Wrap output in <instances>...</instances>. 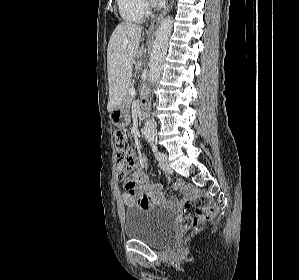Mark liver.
<instances>
[{
	"mask_svg": "<svg viewBox=\"0 0 299 280\" xmlns=\"http://www.w3.org/2000/svg\"><path fill=\"white\" fill-rule=\"evenodd\" d=\"M142 27L123 22L113 31L107 49L109 82L108 112L121 105L131 81L134 58L139 49Z\"/></svg>",
	"mask_w": 299,
	"mask_h": 280,
	"instance_id": "1",
	"label": "liver"
}]
</instances>
